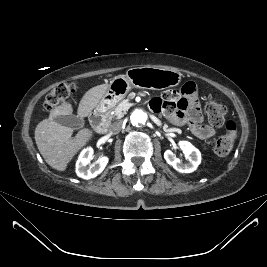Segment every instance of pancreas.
<instances>
[{
  "label": "pancreas",
  "instance_id": "pancreas-1",
  "mask_svg": "<svg viewBox=\"0 0 267 267\" xmlns=\"http://www.w3.org/2000/svg\"><path fill=\"white\" fill-rule=\"evenodd\" d=\"M125 102H128V99L121 101L117 106L107 113L108 122H111L115 119H120L127 113V108L123 106Z\"/></svg>",
  "mask_w": 267,
  "mask_h": 267
}]
</instances>
